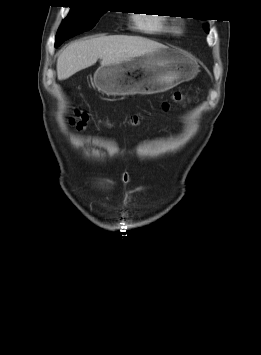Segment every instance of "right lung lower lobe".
<instances>
[{
	"label": "right lung lower lobe",
	"mask_w": 261,
	"mask_h": 355,
	"mask_svg": "<svg viewBox=\"0 0 261 355\" xmlns=\"http://www.w3.org/2000/svg\"><path fill=\"white\" fill-rule=\"evenodd\" d=\"M63 41H65V40L64 39L56 40L55 47H58Z\"/></svg>",
	"instance_id": "obj_1"
}]
</instances>
